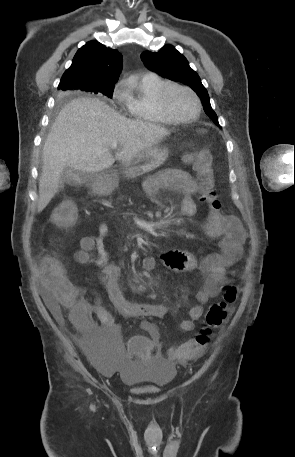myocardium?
<instances>
[{
	"label": "myocardium",
	"mask_w": 295,
	"mask_h": 457,
	"mask_svg": "<svg viewBox=\"0 0 295 457\" xmlns=\"http://www.w3.org/2000/svg\"><path fill=\"white\" fill-rule=\"evenodd\" d=\"M174 88L185 90L193 97L195 104H196V110L192 116L178 117V116H175L172 113V111L170 110L168 103H167V98H168L170 91ZM158 105H159L161 111L163 112V114L166 117H168L172 122H175V123H187V122H191V121L197 119L199 117V115L201 113V109H202L201 101L193 89H191L188 86L174 83V82H169L160 89V91L158 93Z\"/></svg>",
	"instance_id": "myocardium-1"
}]
</instances>
